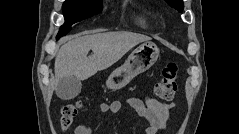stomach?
Here are the masks:
<instances>
[{"instance_id":"1","label":"stomach","mask_w":239,"mask_h":134,"mask_svg":"<svg viewBox=\"0 0 239 134\" xmlns=\"http://www.w3.org/2000/svg\"><path fill=\"white\" fill-rule=\"evenodd\" d=\"M159 56V49L153 42L138 46L126 62L115 69L108 77L106 84L110 89H118L128 84L135 76L148 70Z\"/></svg>"}]
</instances>
